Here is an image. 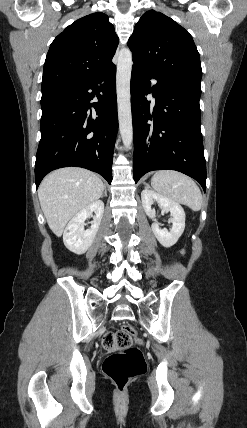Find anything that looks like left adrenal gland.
Returning a JSON list of instances; mask_svg holds the SVG:
<instances>
[{"label": "left adrenal gland", "instance_id": "1", "mask_svg": "<svg viewBox=\"0 0 247 428\" xmlns=\"http://www.w3.org/2000/svg\"><path fill=\"white\" fill-rule=\"evenodd\" d=\"M144 185L146 186V188H149L150 186H149V184L148 183H146V182H144Z\"/></svg>", "mask_w": 247, "mask_h": 428}]
</instances>
